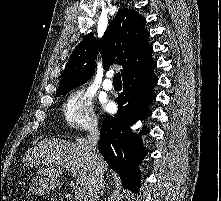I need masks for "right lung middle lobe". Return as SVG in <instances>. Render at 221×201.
<instances>
[{"instance_id":"right-lung-middle-lobe-1","label":"right lung middle lobe","mask_w":221,"mask_h":201,"mask_svg":"<svg viewBox=\"0 0 221 201\" xmlns=\"http://www.w3.org/2000/svg\"><path fill=\"white\" fill-rule=\"evenodd\" d=\"M67 92H68V91H67ZM67 92L58 93V94H56V97L61 96V95H65Z\"/></svg>"}]
</instances>
